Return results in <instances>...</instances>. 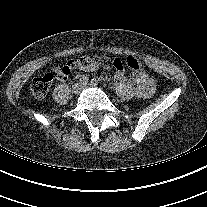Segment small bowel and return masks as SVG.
Returning <instances> with one entry per match:
<instances>
[{"label":"small bowel","instance_id":"small-bowel-1","mask_svg":"<svg viewBox=\"0 0 207 207\" xmlns=\"http://www.w3.org/2000/svg\"><path fill=\"white\" fill-rule=\"evenodd\" d=\"M109 64L108 68L115 71V77L119 81L136 85L135 94L138 97L147 99L152 96L155 90V83L147 74H135L127 77L123 73V62L119 58H112ZM100 67L101 64L99 62H89L80 65L78 68L85 72H92L96 71ZM55 72L59 80L66 81L68 79L69 72H62L60 68H56Z\"/></svg>","mask_w":207,"mask_h":207}]
</instances>
